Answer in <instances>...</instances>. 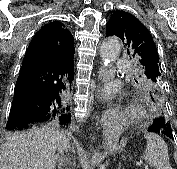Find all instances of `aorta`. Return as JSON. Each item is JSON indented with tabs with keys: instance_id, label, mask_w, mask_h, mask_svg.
I'll use <instances>...</instances> for the list:
<instances>
[{
	"instance_id": "obj_1",
	"label": "aorta",
	"mask_w": 177,
	"mask_h": 169,
	"mask_svg": "<svg viewBox=\"0 0 177 169\" xmlns=\"http://www.w3.org/2000/svg\"><path fill=\"white\" fill-rule=\"evenodd\" d=\"M121 51L120 42L116 38L104 41L100 47V56L105 66L110 67L118 58Z\"/></svg>"
}]
</instances>
